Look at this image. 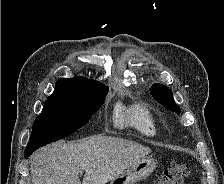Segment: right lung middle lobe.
I'll list each match as a JSON object with an SVG mask.
<instances>
[{"label":"right lung middle lobe","instance_id":"obj_1","mask_svg":"<svg viewBox=\"0 0 224 184\" xmlns=\"http://www.w3.org/2000/svg\"><path fill=\"white\" fill-rule=\"evenodd\" d=\"M107 93L108 89L81 98H48L41 114L34 121L26 149L36 150L65 138L86 125L103 104Z\"/></svg>","mask_w":224,"mask_h":184}]
</instances>
